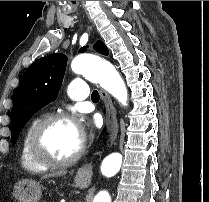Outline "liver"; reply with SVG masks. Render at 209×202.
Segmentation results:
<instances>
[{"mask_svg":"<svg viewBox=\"0 0 209 202\" xmlns=\"http://www.w3.org/2000/svg\"><path fill=\"white\" fill-rule=\"evenodd\" d=\"M65 174H66V171H60V172H57V173L45 175V176H43V178H50V177L60 176V175H65Z\"/></svg>","mask_w":209,"mask_h":202,"instance_id":"6515ba94","label":"liver"}]
</instances>
